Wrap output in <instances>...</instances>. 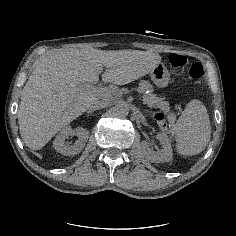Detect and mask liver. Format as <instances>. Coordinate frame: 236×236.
I'll return each instance as SVG.
<instances>
[{
    "label": "liver",
    "mask_w": 236,
    "mask_h": 236,
    "mask_svg": "<svg viewBox=\"0 0 236 236\" xmlns=\"http://www.w3.org/2000/svg\"><path fill=\"white\" fill-rule=\"evenodd\" d=\"M149 52L69 48L37 59L22 90L18 109L20 135L31 150L42 149L58 132L103 97L81 90L80 83L128 84L148 73L140 65Z\"/></svg>",
    "instance_id": "6515ba94"
}]
</instances>
